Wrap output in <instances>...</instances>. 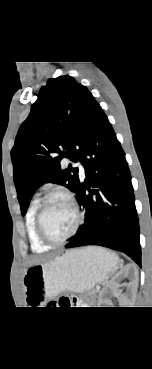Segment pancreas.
<instances>
[{
    "label": "pancreas",
    "instance_id": "obj_1",
    "mask_svg": "<svg viewBox=\"0 0 152 369\" xmlns=\"http://www.w3.org/2000/svg\"><path fill=\"white\" fill-rule=\"evenodd\" d=\"M97 293H98V291L97 290H92L90 293H89V295H90V301H95V299H96V296H97Z\"/></svg>",
    "mask_w": 152,
    "mask_h": 369
}]
</instances>
